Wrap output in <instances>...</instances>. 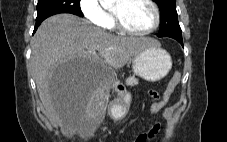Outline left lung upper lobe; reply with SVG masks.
Instances as JSON below:
<instances>
[{
  "label": "left lung upper lobe",
  "mask_w": 227,
  "mask_h": 142,
  "mask_svg": "<svg viewBox=\"0 0 227 142\" xmlns=\"http://www.w3.org/2000/svg\"><path fill=\"white\" fill-rule=\"evenodd\" d=\"M160 8L159 37L173 36L182 38V31L178 23L176 0H155Z\"/></svg>",
  "instance_id": "5c2ea615"
}]
</instances>
